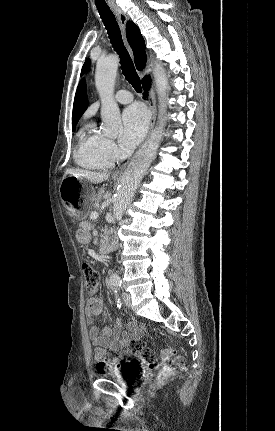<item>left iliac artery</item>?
Instances as JSON below:
<instances>
[{
	"mask_svg": "<svg viewBox=\"0 0 275 431\" xmlns=\"http://www.w3.org/2000/svg\"><path fill=\"white\" fill-rule=\"evenodd\" d=\"M113 285H115V286H121V281H119V280H115V281L113 282Z\"/></svg>",
	"mask_w": 275,
	"mask_h": 431,
	"instance_id": "left-iliac-artery-1",
	"label": "left iliac artery"
}]
</instances>
